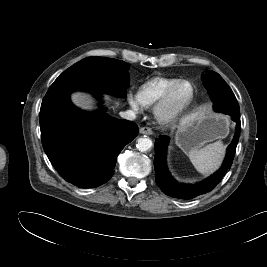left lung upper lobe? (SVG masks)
I'll return each mask as SVG.
<instances>
[{"instance_id":"left-lung-upper-lobe-1","label":"left lung upper lobe","mask_w":267,"mask_h":267,"mask_svg":"<svg viewBox=\"0 0 267 267\" xmlns=\"http://www.w3.org/2000/svg\"><path fill=\"white\" fill-rule=\"evenodd\" d=\"M202 78L215 109L226 107L229 99L236 100L232 90L218 73L207 71Z\"/></svg>"}]
</instances>
